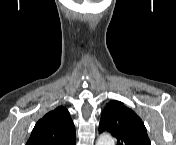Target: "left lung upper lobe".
Listing matches in <instances>:
<instances>
[{
    "instance_id": "5c2ea615",
    "label": "left lung upper lobe",
    "mask_w": 176,
    "mask_h": 145,
    "mask_svg": "<svg viewBox=\"0 0 176 145\" xmlns=\"http://www.w3.org/2000/svg\"><path fill=\"white\" fill-rule=\"evenodd\" d=\"M109 131L117 145H151L142 120L119 101L109 102L102 111L99 132Z\"/></svg>"
}]
</instances>
